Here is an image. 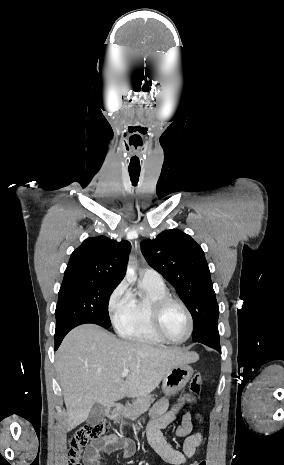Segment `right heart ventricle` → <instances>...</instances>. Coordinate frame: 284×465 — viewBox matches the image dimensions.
Wrapping results in <instances>:
<instances>
[{
	"mask_svg": "<svg viewBox=\"0 0 284 465\" xmlns=\"http://www.w3.org/2000/svg\"><path fill=\"white\" fill-rule=\"evenodd\" d=\"M146 295L140 299H133L128 309L115 321L117 332L124 339L142 346H163L153 332L152 309L155 302L163 297H170V293L163 283H148L143 281Z\"/></svg>",
	"mask_w": 284,
	"mask_h": 465,
	"instance_id": "1",
	"label": "right heart ventricle"
}]
</instances>
